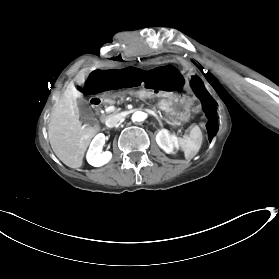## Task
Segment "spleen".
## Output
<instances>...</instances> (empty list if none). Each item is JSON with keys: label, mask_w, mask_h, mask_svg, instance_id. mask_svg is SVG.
I'll return each mask as SVG.
<instances>
[{"label": "spleen", "mask_w": 279, "mask_h": 279, "mask_svg": "<svg viewBox=\"0 0 279 279\" xmlns=\"http://www.w3.org/2000/svg\"><path fill=\"white\" fill-rule=\"evenodd\" d=\"M201 144L199 128H192L189 136L186 139L177 141V145L184 152L185 159H192L198 152Z\"/></svg>", "instance_id": "1"}]
</instances>
